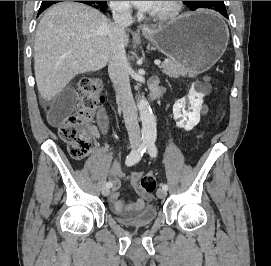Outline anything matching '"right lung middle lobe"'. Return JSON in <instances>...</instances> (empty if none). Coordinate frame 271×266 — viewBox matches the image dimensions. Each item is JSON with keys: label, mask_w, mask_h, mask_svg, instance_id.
<instances>
[{"label": "right lung middle lobe", "mask_w": 271, "mask_h": 266, "mask_svg": "<svg viewBox=\"0 0 271 266\" xmlns=\"http://www.w3.org/2000/svg\"><path fill=\"white\" fill-rule=\"evenodd\" d=\"M45 2H48V1H42V3H45Z\"/></svg>", "instance_id": "dd1d6c3e"}]
</instances>
